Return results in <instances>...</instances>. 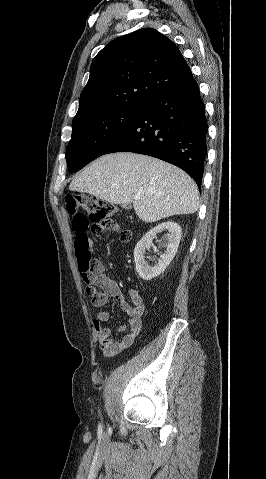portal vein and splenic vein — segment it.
<instances>
[{
  "label": "portal vein and splenic vein",
  "mask_w": 266,
  "mask_h": 479,
  "mask_svg": "<svg viewBox=\"0 0 266 479\" xmlns=\"http://www.w3.org/2000/svg\"><path fill=\"white\" fill-rule=\"evenodd\" d=\"M133 197L135 200H138L140 198V195H134Z\"/></svg>",
  "instance_id": "18ae733b"
}]
</instances>
